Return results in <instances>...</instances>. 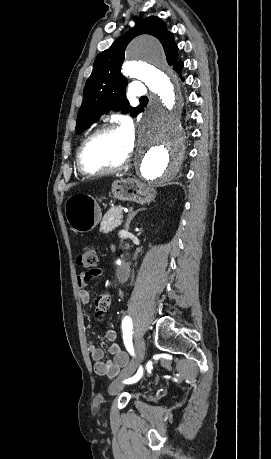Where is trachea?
<instances>
[{"instance_id": "1", "label": "trachea", "mask_w": 271, "mask_h": 459, "mask_svg": "<svg viewBox=\"0 0 271 459\" xmlns=\"http://www.w3.org/2000/svg\"><path fill=\"white\" fill-rule=\"evenodd\" d=\"M140 101H143V102H144V101H148V98H147V97H141V98H140Z\"/></svg>"}]
</instances>
